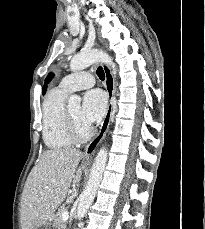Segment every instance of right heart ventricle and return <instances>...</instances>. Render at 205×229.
<instances>
[{
  "label": "right heart ventricle",
  "mask_w": 205,
  "mask_h": 229,
  "mask_svg": "<svg viewBox=\"0 0 205 229\" xmlns=\"http://www.w3.org/2000/svg\"><path fill=\"white\" fill-rule=\"evenodd\" d=\"M69 93L56 88L50 91L42 104V135L45 145L52 150L70 147L74 141L69 136L65 122V101Z\"/></svg>",
  "instance_id": "right-heart-ventricle-1"
}]
</instances>
